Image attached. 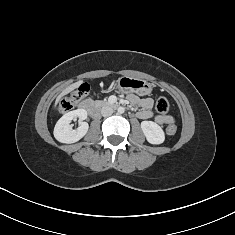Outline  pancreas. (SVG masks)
Here are the masks:
<instances>
[{
	"instance_id": "cf45deb5",
	"label": "pancreas",
	"mask_w": 235,
	"mask_h": 235,
	"mask_svg": "<svg viewBox=\"0 0 235 235\" xmlns=\"http://www.w3.org/2000/svg\"><path fill=\"white\" fill-rule=\"evenodd\" d=\"M96 103L99 104V105H105V104H107L106 101H96Z\"/></svg>"
}]
</instances>
